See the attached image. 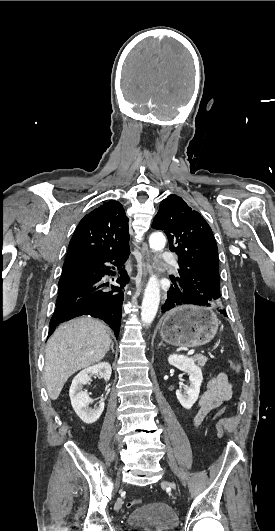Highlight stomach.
<instances>
[{
	"instance_id": "obj_1",
	"label": "stomach",
	"mask_w": 275,
	"mask_h": 531,
	"mask_svg": "<svg viewBox=\"0 0 275 531\" xmlns=\"http://www.w3.org/2000/svg\"><path fill=\"white\" fill-rule=\"evenodd\" d=\"M160 337L174 347H201L214 339L220 325L212 309L199 301H181L161 319Z\"/></svg>"
}]
</instances>
